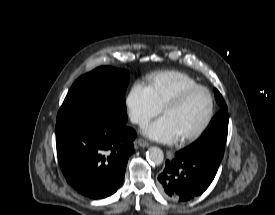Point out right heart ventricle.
Masks as SVG:
<instances>
[{"mask_svg": "<svg viewBox=\"0 0 275 215\" xmlns=\"http://www.w3.org/2000/svg\"><path fill=\"white\" fill-rule=\"evenodd\" d=\"M196 84L197 82L188 74L181 71L168 70L150 74L147 77L146 88L161 109L180 90Z\"/></svg>", "mask_w": 275, "mask_h": 215, "instance_id": "1", "label": "right heart ventricle"}]
</instances>
